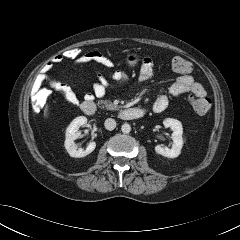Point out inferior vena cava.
Instances as JSON below:
<instances>
[{
  "label": "inferior vena cava",
  "instance_id": "1",
  "mask_svg": "<svg viewBox=\"0 0 240 240\" xmlns=\"http://www.w3.org/2000/svg\"><path fill=\"white\" fill-rule=\"evenodd\" d=\"M104 126L107 130L112 131L116 127V121L112 118H108L105 120Z\"/></svg>",
  "mask_w": 240,
  "mask_h": 240
}]
</instances>
